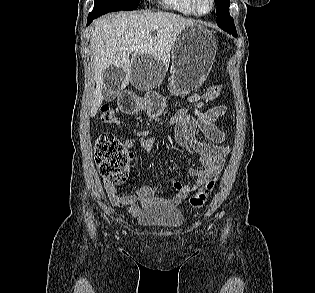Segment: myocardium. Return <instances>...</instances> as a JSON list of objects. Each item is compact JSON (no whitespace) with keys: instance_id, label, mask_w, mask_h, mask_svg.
Instances as JSON below:
<instances>
[{"instance_id":"myocardium-1","label":"myocardium","mask_w":315,"mask_h":293,"mask_svg":"<svg viewBox=\"0 0 315 293\" xmlns=\"http://www.w3.org/2000/svg\"><path fill=\"white\" fill-rule=\"evenodd\" d=\"M192 1V5H193V8L194 10L196 11V13L199 15V16H206L208 14H210L214 8H215V0H210V9L206 12H203L200 7H199V0H191Z\"/></svg>"}]
</instances>
